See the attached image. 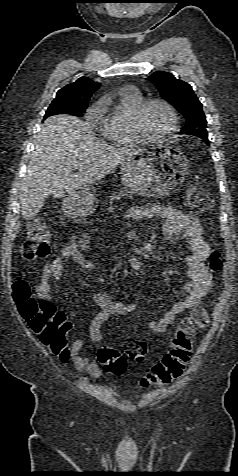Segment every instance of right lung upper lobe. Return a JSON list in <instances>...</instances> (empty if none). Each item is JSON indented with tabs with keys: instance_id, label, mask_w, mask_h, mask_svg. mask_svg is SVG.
<instances>
[{
	"instance_id": "1",
	"label": "right lung upper lobe",
	"mask_w": 238,
	"mask_h": 476,
	"mask_svg": "<svg viewBox=\"0 0 238 476\" xmlns=\"http://www.w3.org/2000/svg\"><path fill=\"white\" fill-rule=\"evenodd\" d=\"M99 83L87 77H80L57 92L56 98L65 97L74 103L87 104L92 94L98 89Z\"/></svg>"
}]
</instances>
